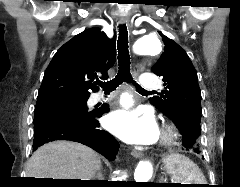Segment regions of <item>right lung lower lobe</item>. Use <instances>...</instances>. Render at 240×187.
I'll list each match as a JSON object with an SVG mask.
<instances>
[{
	"mask_svg": "<svg viewBox=\"0 0 240 187\" xmlns=\"http://www.w3.org/2000/svg\"><path fill=\"white\" fill-rule=\"evenodd\" d=\"M109 111L107 106L87 114L71 115L60 110H49L34 118L33 148L54 140H71L87 145L105 156L115 159L119 144L107 131L100 130L98 118Z\"/></svg>",
	"mask_w": 240,
	"mask_h": 187,
	"instance_id": "98d812e1",
	"label": "right lung lower lobe"
}]
</instances>
